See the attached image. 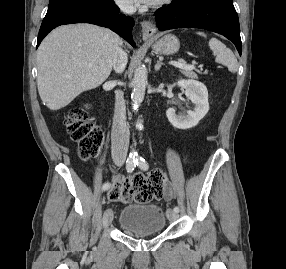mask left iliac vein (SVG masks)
<instances>
[{"instance_id": "left-iliac-vein-1", "label": "left iliac vein", "mask_w": 286, "mask_h": 269, "mask_svg": "<svg viewBox=\"0 0 286 269\" xmlns=\"http://www.w3.org/2000/svg\"><path fill=\"white\" fill-rule=\"evenodd\" d=\"M177 217H178L177 212H175L173 209L167 210V218L169 221H175Z\"/></svg>"}]
</instances>
